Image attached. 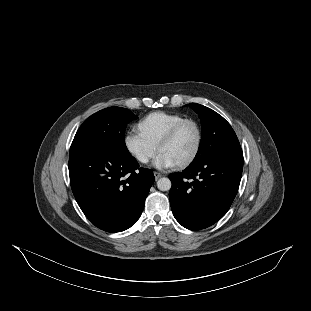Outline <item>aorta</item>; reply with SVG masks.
Returning a JSON list of instances; mask_svg holds the SVG:
<instances>
[{"mask_svg":"<svg viewBox=\"0 0 311 311\" xmlns=\"http://www.w3.org/2000/svg\"><path fill=\"white\" fill-rule=\"evenodd\" d=\"M172 182L169 178L163 177L157 181V187L161 191H169L171 189Z\"/></svg>","mask_w":311,"mask_h":311,"instance_id":"obj_1","label":"aorta"}]
</instances>
